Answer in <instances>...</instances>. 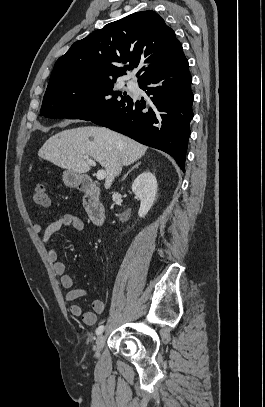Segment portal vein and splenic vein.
Instances as JSON below:
<instances>
[{
  "label": "portal vein and splenic vein",
  "instance_id": "obj_1",
  "mask_svg": "<svg viewBox=\"0 0 265 407\" xmlns=\"http://www.w3.org/2000/svg\"><path fill=\"white\" fill-rule=\"evenodd\" d=\"M84 159L91 165V166H96V162L92 159H90L88 156H84ZM106 177V171L105 170H98L96 174V178L98 180H103Z\"/></svg>",
  "mask_w": 265,
  "mask_h": 407
}]
</instances>
